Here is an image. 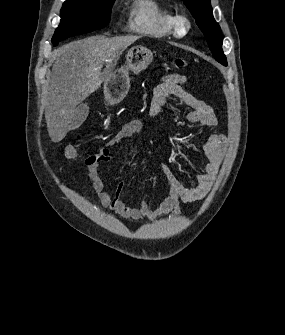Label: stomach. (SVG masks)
<instances>
[{
  "label": "stomach",
  "instance_id": "1",
  "mask_svg": "<svg viewBox=\"0 0 285 335\" xmlns=\"http://www.w3.org/2000/svg\"><path fill=\"white\" fill-rule=\"evenodd\" d=\"M127 66H122L119 70H115L113 74H109L104 82V94L107 102L110 104H119L130 88L129 70L131 72H141L146 70L149 64L153 62V54L148 48L143 46H135L127 52Z\"/></svg>",
  "mask_w": 285,
  "mask_h": 335
}]
</instances>
